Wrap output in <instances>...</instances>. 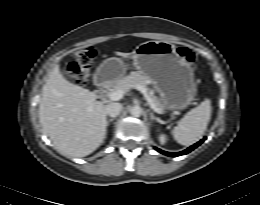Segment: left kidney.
I'll return each instance as SVG.
<instances>
[{"label": "left kidney", "instance_id": "1", "mask_svg": "<svg viewBox=\"0 0 260 205\" xmlns=\"http://www.w3.org/2000/svg\"><path fill=\"white\" fill-rule=\"evenodd\" d=\"M159 141L161 144L166 143V136L164 134L159 135Z\"/></svg>", "mask_w": 260, "mask_h": 205}]
</instances>
